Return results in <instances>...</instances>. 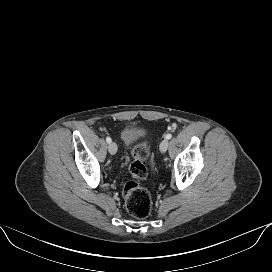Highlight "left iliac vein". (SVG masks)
<instances>
[{
	"label": "left iliac vein",
	"mask_w": 272,
	"mask_h": 272,
	"mask_svg": "<svg viewBox=\"0 0 272 272\" xmlns=\"http://www.w3.org/2000/svg\"><path fill=\"white\" fill-rule=\"evenodd\" d=\"M169 146V142L167 139L162 140V142L160 143V151L162 153H165L168 149Z\"/></svg>",
	"instance_id": "4c4485c4"
}]
</instances>
